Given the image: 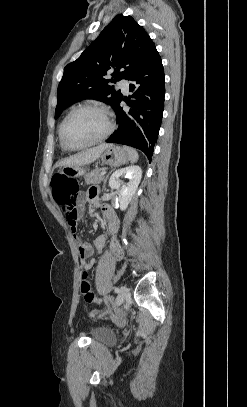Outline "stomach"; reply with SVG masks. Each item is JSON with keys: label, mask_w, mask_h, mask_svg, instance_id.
Wrapping results in <instances>:
<instances>
[{"label": "stomach", "mask_w": 247, "mask_h": 407, "mask_svg": "<svg viewBox=\"0 0 247 407\" xmlns=\"http://www.w3.org/2000/svg\"><path fill=\"white\" fill-rule=\"evenodd\" d=\"M100 158L103 164L109 166H120L130 159L124 148L115 145H109L101 153ZM62 172L64 175L79 177L84 175L86 171L83 166H64Z\"/></svg>", "instance_id": "obj_1"}]
</instances>
